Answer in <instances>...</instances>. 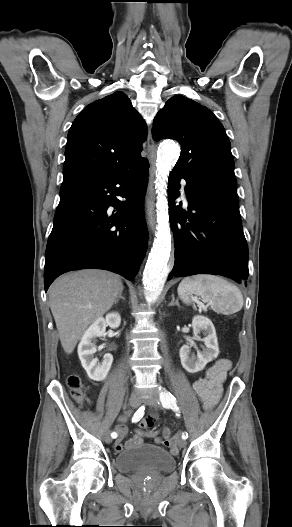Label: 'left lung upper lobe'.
I'll return each mask as SVG.
<instances>
[{
  "mask_svg": "<svg viewBox=\"0 0 292 527\" xmlns=\"http://www.w3.org/2000/svg\"><path fill=\"white\" fill-rule=\"evenodd\" d=\"M154 140L170 138L181 145L173 168L188 184L237 194L230 141L217 117L205 106L178 95L170 98L153 122Z\"/></svg>",
  "mask_w": 292,
  "mask_h": 527,
  "instance_id": "left-lung-upper-lobe-1",
  "label": "left lung upper lobe"
}]
</instances>
